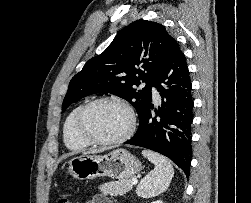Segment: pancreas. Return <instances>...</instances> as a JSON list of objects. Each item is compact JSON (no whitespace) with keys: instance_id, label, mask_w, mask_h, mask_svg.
Instances as JSON below:
<instances>
[{"instance_id":"cf45deb5","label":"pancreas","mask_w":251,"mask_h":203,"mask_svg":"<svg viewBox=\"0 0 251 203\" xmlns=\"http://www.w3.org/2000/svg\"><path fill=\"white\" fill-rule=\"evenodd\" d=\"M99 189L104 195H124L126 192H129L132 189V178L107 182L101 185Z\"/></svg>"}]
</instances>
